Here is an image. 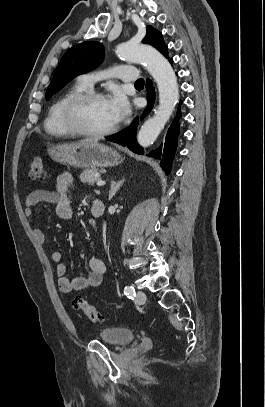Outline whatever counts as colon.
Wrapping results in <instances>:
<instances>
[{
	"mask_svg": "<svg viewBox=\"0 0 265 407\" xmlns=\"http://www.w3.org/2000/svg\"><path fill=\"white\" fill-rule=\"evenodd\" d=\"M45 171L43 162L40 158L35 157L31 160L29 165V179L39 180L44 177ZM73 307L85 314V316L93 323H101L104 321V316L92 305H90L86 299L77 297L73 301Z\"/></svg>",
	"mask_w": 265,
	"mask_h": 407,
	"instance_id": "1",
	"label": "colon"
}]
</instances>
